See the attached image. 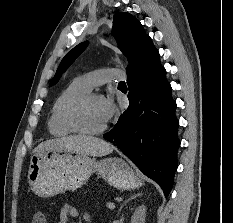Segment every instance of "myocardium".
I'll use <instances>...</instances> for the list:
<instances>
[{
  "mask_svg": "<svg viewBox=\"0 0 233 223\" xmlns=\"http://www.w3.org/2000/svg\"><path fill=\"white\" fill-rule=\"evenodd\" d=\"M95 98H99L96 94H87L82 99L78 100L70 109L68 114V123L75 133L83 136H97L107 129V124H104L99 129L87 130L82 125V115L87 104Z\"/></svg>",
  "mask_w": 233,
  "mask_h": 223,
  "instance_id": "1",
  "label": "myocardium"
}]
</instances>
